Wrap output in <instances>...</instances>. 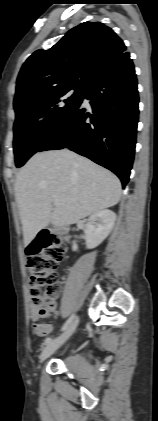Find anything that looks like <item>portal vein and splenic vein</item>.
I'll list each match as a JSON object with an SVG mask.
<instances>
[{
    "mask_svg": "<svg viewBox=\"0 0 158 421\" xmlns=\"http://www.w3.org/2000/svg\"><path fill=\"white\" fill-rule=\"evenodd\" d=\"M53 204H54L55 206H59V205H60V202H59V200H54V201H53Z\"/></svg>",
    "mask_w": 158,
    "mask_h": 421,
    "instance_id": "1",
    "label": "portal vein and splenic vein"
}]
</instances>
